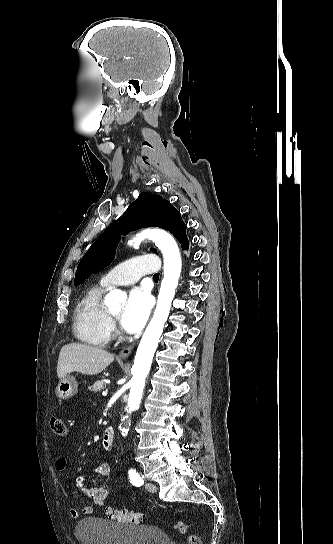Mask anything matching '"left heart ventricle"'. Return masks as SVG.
I'll list each match as a JSON object with an SVG mask.
<instances>
[{"label":"left heart ventricle","instance_id":"1","mask_svg":"<svg viewBox=\"0 0 333 544\" xmlns=\"http://www.w3.org/2000/svg\"><path fill=\"white\" fill-rule=\"evenodd\" d=\"M120 313H121V310H117V311L113 312L112 314L114 316L118 317L120 315Z\"/></svg>","mask_w":333,"mask_h":544}]
</instances>
